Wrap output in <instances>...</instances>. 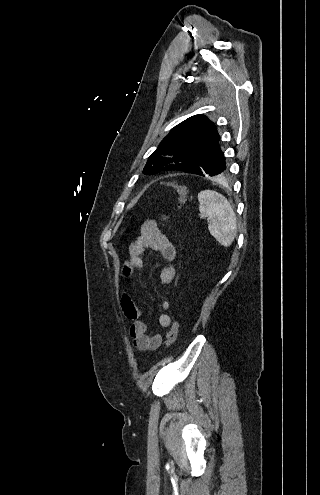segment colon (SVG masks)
I'll use <instances>...</instances> for the list:
<instances>
[{
    "instance_id": "5ec220e1",
    "label": "colon",
    "mask_w": 320,
    "mask_h": 495,
    "mask_svg": "<svg viewBox=\"0 0 320 495\" xmlns=\"http://www.w3.org/2000/svg\"><path fill=\"white\" fill-rule=\"evenodd\" d=\"M164 186L172 189L177 197H178V207H182L188 198V188L179 182L172 181V182H165ZM163 220L167 219V216L163 215L162 216ZM179 335V323L177 320H174L169 328V331L166 336V347L170 348L175 341L177 340Z\"/></svg>"
}]
</instances>
